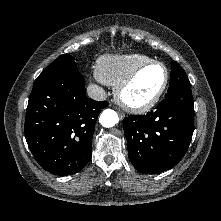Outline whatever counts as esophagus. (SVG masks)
<instances>
[{"label":"esophagus","instance_id":"obj_1","mask_svg":"<svg viewBox=\"0 0 221 221\" xmlns=\"http://www.w3.org/2000/svg\"><path fill=\"white\" fill-rule=\"evenodd\" d=\"M119 116H120L121 119L124 118V114L122 112H119Z\"/></svg>","mask_w":221,"mask_h":221}]
</instances>
